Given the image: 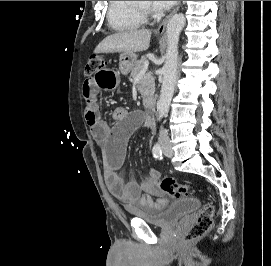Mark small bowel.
I'll list each match as a JSON object with an SVG mask.
<instances>
[{
  "label": "small bowel",
  "mask_w": 271,
  "mask_h": 266,
  "mask_svg": "<svg viewBox=\"0 0 271 266\" xmlns=\"http://www.w3.org/2000/svg\"><path fill=\"white\" fill-rule=\"evenodd\" d=\"M120 72L110 66L96 70L83 85V96L87 102L85 108L86 122L93 139L104 146V178L109 191L118 199L130 206H136L147 211H158L166 207L169 200L156 186L160 172L151 168L150 178L137 182L134 179L125 180L119 169L125 159L127 142L130 135L139 126V116L118 107L113 112L116 125L110 128L99 109L98 94L101 90H113L119 82Z\"/></svg>",
  "instance_id": "1"
}]
</instances>
